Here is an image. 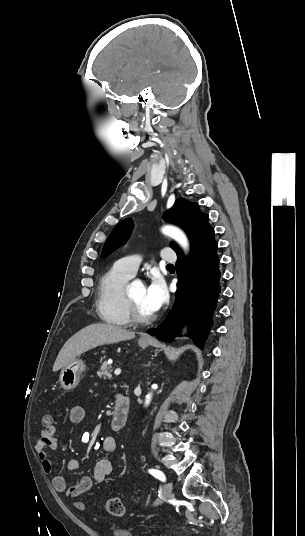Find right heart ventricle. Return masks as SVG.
<instances>
[{"mask_svg":"<svg viewBox=\"0 0 305 536\" xmlns=\"http://www.w3.org/2000/svg\"><path fill=\"white\" fill-rule=\"evenodd\" d=\"M131 279L116 266L105 273L99 283L96 310L103 321L128 327L132 318L124 303V290L126 283Z\"/></svg>","mask_w":305,"mask_h":536,"instance_id":"right-heart-ventricle-1","label":"right heart ventricle"}]
</instances>
